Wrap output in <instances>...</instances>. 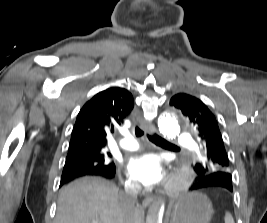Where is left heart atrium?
<instances>
[{"instance_id": "obj_1", "label": "left heart atrium", "mask_w": 267, "mask_h": 223, "mask_svg": "<svg viewBox=\"0 0 267 223\" xmlns=\"http://www.w3.org/2000/svg\"><path fill=\"white\" fill-rule=\"evenodd\" d=\"M127 169L136 181L147 187L158 185L167 177L163 160L156 154L133 156L128 162Z\"/></svg>"}]
</instances>
